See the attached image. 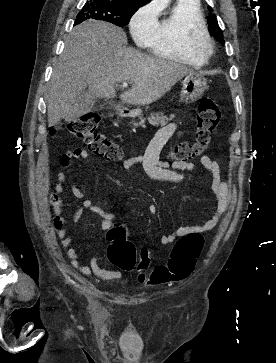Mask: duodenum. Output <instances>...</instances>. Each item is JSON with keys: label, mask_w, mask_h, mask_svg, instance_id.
I'll list each match as a JSON object with an SVG mask.
<instances>
[{"label": "duodenum", "mask_w": 276, "mask_h": 363, "mask_svg": "<svg viewBox=\"0 0 276 363\" xmlns=\"http://www.w3.org/2000/svg\"><path fill=\"white\" fill-rule=\"evenodd\" d=\"M113 111L117 114V115H122L123 114V110L121 108L115 107L113 108Z\"/></svg>", "instance_id": "duodenum-1"}]
</instances>
